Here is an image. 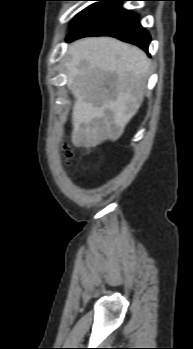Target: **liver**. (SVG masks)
Here are the masks:
<instances>
[{
  "mask_svg": "<svg viewBox=\"0 0 193 349\" xmlns=\"http://www.w3.org/2000/svg\"><path fill=\"white\" fill-rule=\"evenodd\" d=\"M67 55V86L76 99L73 145L89 149L116 141L143 101L150 70L147 56L110 37L79 39L69 45Z\"/></svg>",
  "mask_w": 193,
  "mask_h": 349,
  "instance_id": "1",
  "label": "liver"
}]
</instances>
